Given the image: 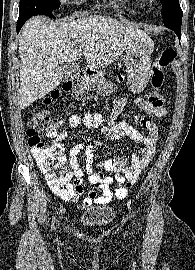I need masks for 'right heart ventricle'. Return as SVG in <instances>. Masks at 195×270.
Masks as SVG:
<instances>
[{
  "label": "right heart ventricle",
  "instance_id": "e07e8e85",
  "mask_svg": "<svg viewBox=\"0 0 195 270\" xmlns=\"http://www.w3.org/2000/svg\"><path fill=\"white\" fill-rule=\"evenodd\" d=\"M134 3L139 7L143 6L142 0H135Z\"/></svg>",
  "mask_w": 195,
  "mask_h": 270
}]
</instances>
